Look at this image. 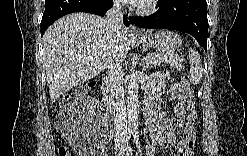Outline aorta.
<instances>
[{"label": "aorta", "mask_w": 247, "mask_h": 156, "mask_svg": "<svg viewBox=\"0 0 247 156\" xmlns=\"http://www.w3.org/2000/svg\"><path fill=\"white\" fill-rule=\"evenodd\" d=\"M139 100L137 72L133 70L129 76L127 89V114L128 123L132 126L138 125Z\"/></svg>", "instance_id": "aorta-1"}]
</instances>
